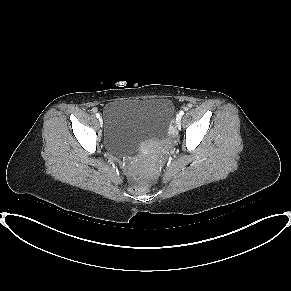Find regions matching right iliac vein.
Instances as JSON below:
<instances>
[{
  "mask_svg": "<svg viewBox=\"0 0 291 291\" xmlns=\"http://www.w3.org/2000/svg\"><path fill=\"white\" fill-rule=\"evenodd\" d=\"M100 123H102V118H99Z\"/></svg>",
  "mask_w": 291,
  "mask_h": 291,
  "instance_id": "1",
  "label": "right iliac vein"
}]
</instances>
